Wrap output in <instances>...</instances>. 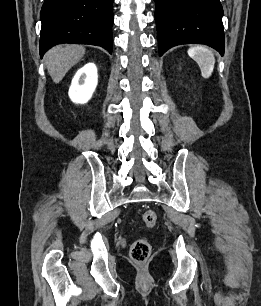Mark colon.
I'll return each mask as SVG.
<instances>
[{
	"label": "colon",
	"mask_w": 261,
	"mask_h": 306,
	"mask_svg": "<svg viewBox=\"0 0 261 306\" xmlns=\"http://www.w3.org/2000/svg\"><path fill=\"white\" fill-rule=\"evenodd\" d=\"M142 221L147 228L155 227L157 215L153 210H146L142 214ZM151 246L146 239H137L133 242L130 249V256L136 263H144L150 256Z\"/></svg>",
	"instance_id": "1"
}]
</instances>
